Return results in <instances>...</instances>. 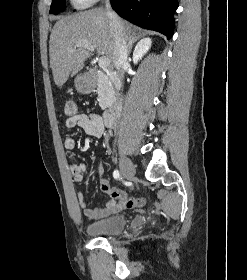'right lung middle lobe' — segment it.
I'll list each match as a JSON object with an SVG mask.
<instances>
[{"instance_id":"dd1d6c3e","label":"right lung middle lobe","mask_w":247,"mask_h":280,"mask_svg":"<svg viewBox=\"0 0 247 280\" xmlns=\"http://www.w3.org/2000/svg\"><path fill=\"white\" fill-rule=\"evenodd\" d=\"M65 0H53L51 4L50 13L57 15L64 10Z\"/></svg>"}]
</instances>
